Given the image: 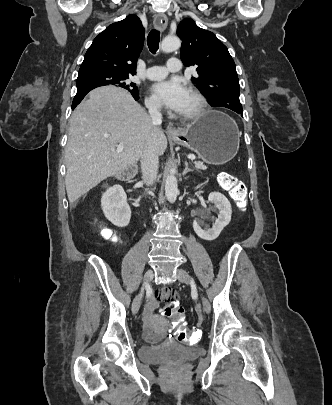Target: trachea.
Returning a JSON list of instances; mask_svg holds the SVG:
<instances>
[{
    "label": "trachea",
    "instance_id": "obj_1",
    "mask_svg": "<svg viewBox=\"0 0 332 405\" xmlns=\"http://www.w3.org/2000/svg\"><path fill=\"white\" fill-rule=\"evenodd\" d=\"M159 40H160V32L158 30H151L148 39H147V45L149 50L155 54L159 48Z\"/></svg>",
    "mask_w": 332,
    "mask_h": 405
}]
</instances>
